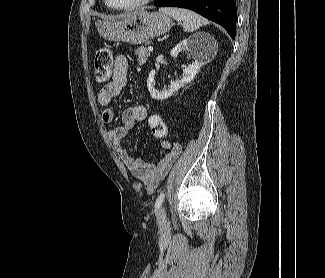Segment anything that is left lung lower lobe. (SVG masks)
I'll use <instances>...</instances> for the list:
<instances>
[{
  "label": "left lung lower lobe",
  "instance_id": "left-lung-lower-lobe-1",
  "mask_svg": "<svg viewBox=\"0 0 325 278\" xmlns=\"http://www.w3.org/2000/svg\"><path fill=\"white\" fill-rule=\"evenodd\" d=\"M157 7H182L222 25L235 38L236 0H155Z\"/></svg>",
  "mask_w": 325,
  "mask_h": 278
}]
</instances>
